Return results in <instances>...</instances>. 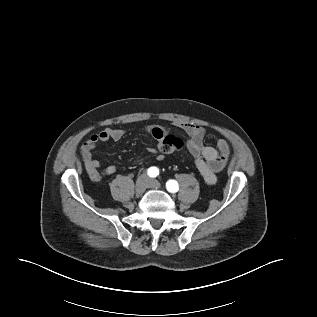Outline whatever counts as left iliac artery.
<instances>
[{"label":"left iliac artery","mask_w":317,"mask_h":317,"mask_svg":"<svg viewBox=\"0 0 317 317\" xmlns=\"http://www.w3.org/2000/svg\"><path fill=\"white\" fill-rule=\"evenodd\" d=\"M166 188L169 192H177L179 189V185L175 180H168L166 182Z\"/></svg>","instance_id":"1"}]
</instances>
